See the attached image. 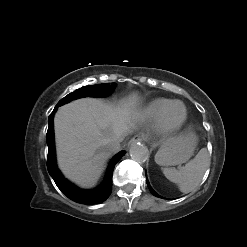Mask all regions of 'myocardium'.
<instances>
[{
  "label": "myocardium",
  "instance_id": "obj_1",
  "mask_svg": "<svg viewBox=\"0 0 247 247\" xmlns=\"http://www.w3.org/2000/svg\"><path fill=\"white\" fill-rule=\"evenodd\" d=\"M181 106L183 109V114L180 119L177 121H172L169 117L170 111L175 106ZM187 119V109L186 106L180 101H172L159 115L158 119L156 120L157 128L160 133L162 134H171L179 129L185 124Z\"/></svg>",
  "mask_w": 247,
  "mask_h": 247
}]
</instances>
